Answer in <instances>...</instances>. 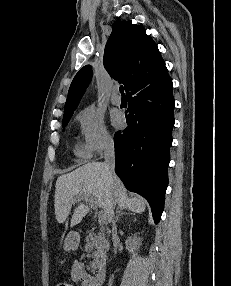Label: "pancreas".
<instances>
[{
  "label": "pancreas",
  "instance_id": "pancreas-1",
  "mask_svg": "<svg viewBox=\"0 0 231 286\" xmlns=\"http://www.w3.org/2000/svg\"><path fill=\"white\" fill-rule=\"evenodd\" d=\"M109 248L108 240L105 237L103 231L91 232L86 238L85 250L92 253L93 261L90 263V267L93 270H97L106 263V252Z\"/></svg>",
  "mask_w": 231,
  "mask_h": 286
}]
</instances>
